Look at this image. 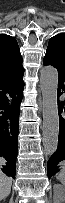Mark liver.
Listing matches in <instances>:
<instances>
[{"mask_svg": "<svg viewBox=\"0 0 65 203\" xmlns=\"http://www.w3.org/2000/svg\"><path fill=\"white\" fill-rule=\"evenodd\" d=\"M1 164L5 163L3 158L0 159ZM12 179L5 174H0V199H5L11 192Z\"/></svg>", "mask_w": 65, "mask_h": 203, "instance_id": "1", "label": "liver"}]
</instances>
